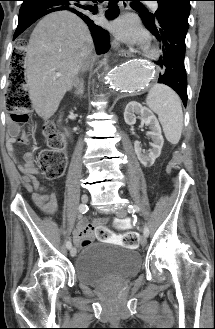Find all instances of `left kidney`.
Wrapping results in <instances>:
<instances>
[{
  "label": "left kidney",
  "mask_w": 215,
  "mask_h": 329,
  "mask_svg": "<svg viewBox=\"0 0 215 329\" xmlns=\"http://www.w3.org/2000/svg\"><path fill=\"white\" fill-rule=\"evenodd\" d=\"M136 115H140L142 122L149 126L150 131L147 135L152 139V149L148 154L142 153L140 142L135 141L134 149L139 161L145 166H151L154 164L156 158L161 154L164 139L161 134V127L153 112L147 107H143L136 101H131L126 105L124 111V120L128 125H134L136 123Z\"/></svg>",
  "instance_id": "left-kidney-1"
}]
</instances>
